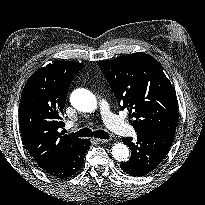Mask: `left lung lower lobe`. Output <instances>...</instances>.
I'll return each instance as SVG.
<instances>
[{"label": "left lung lower lobe", "instance_id": "1", "mask_svg": "<svg viewBox=\"0 0 205 205\" xmlns=\"http://www.w3.org/2000/svg\"><path fill=\"white\" fill-rule=\"evenodd\" d=\"M174 137L175 131H159L137 135L136 142L132 137L123 138L132 155L129 161L122 163V170L134 177L147 175L168 154Z\"/></svg>", "mask_w": 205, "mask_h": 205}]
</instances>
